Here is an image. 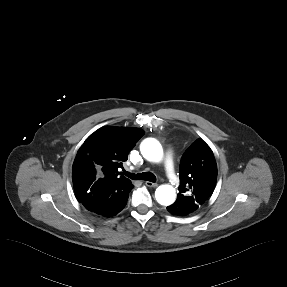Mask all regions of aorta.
I'll return each mask as SVG.
<instances>
[{"label":"aorta","instance_id":"762f6f07","mask_svg":"<svg viewBox=\"0 0 287 287\" xmlns=\"http://www.w3.org/2000/svg\"><path fill=\"white\" fill-rule=\"evenodd\" d=\"M140 151L143 157L151 162H159L163 158L162 146L154 138L143 140L140 145ZM155 198L159 204L169 206L176 200V191L171 185H160L155 191Z\"/></svg>","mask_w":287,"mask_h":287}]
</instances>
